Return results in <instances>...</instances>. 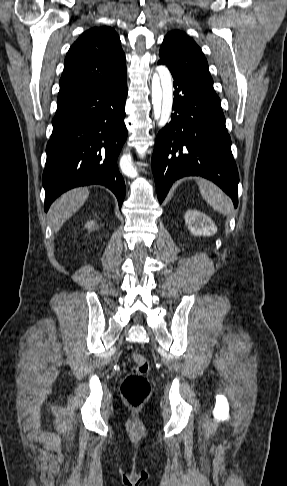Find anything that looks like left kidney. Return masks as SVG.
Returning <instances> with one entry per match:
<instances>
[{"label":"left kidney","instance_id":"1","mask_svg":"<svg viewBox=\"0 0 287 486\" xmlns=\"http://www.w3.org/2000/svg\"><path fill=\"white\" fill-rule=\"evenodd\" d=\"M185 224L194 236H213L217 232V227L210 217L197 210H187Z\"/></svg>","mask_w":287,"mask_h":486}]
</instances>
